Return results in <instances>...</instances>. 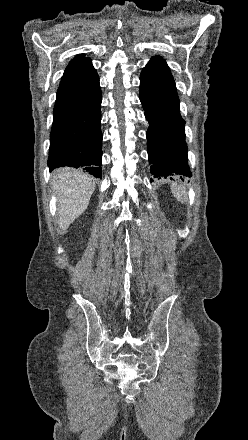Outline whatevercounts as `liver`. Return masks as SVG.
Here are the masks:
<instances>
[{
	"instance_id": "liver-1",
	"label": "liver",
	"mask_w": 248,
	"mask_h": 440,
	"mask_svg": "<svg viewBox=\"0 0 248 440\" xmlns=\"http://www.w3.org/2000/svg\"><path fill=\"white\" fill-rule=\"evenodd\" d=\"M53 188L59 199L57 223L64 232L88 207L95 182L78 170L62 168L53 178Z\"/></svg>"
}]
</instances>
